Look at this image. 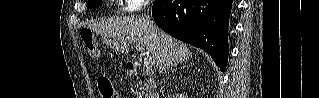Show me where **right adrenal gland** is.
Wrapping results in <instances>:
<instances>
[{
  "label": "right adrenal gland",
  "mask_w": 319,
  "mask_h": 98,
  "mask_svg": "<svg viewBox=\"0 0 319 98\" xmlns=\"http://www.w3.org/2000/svg\"><path fill=\"white\" fill-rule=\"evenodd\" d=\"M184 66H185V65H183L182 67H184ZM176 69H177V67H175V68L173 69V71L176 70Z\"/></svg>",
  "instance_id": "1"
}]
</instances>
